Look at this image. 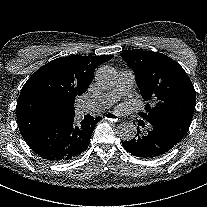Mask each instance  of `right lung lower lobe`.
<instances>
[{
  "instance_id": "obj_1",
  "label": "right lung lower lobe",
  "mask_w": 207,
  "mask_h": 207,
  "mask_svg": "<svg viewBox=\"0 0 207 207\" xmlns=\"http://www.w3.org/2000/svg\"><path fill=\"white\" fill-rule=\"evenodd\" d=\"M101 117L95 120L74 122V116L25 139L27 145L41 158L51 162H65L81 155L90 142L91 134Z\"/></svg>"
}]
</instances>
